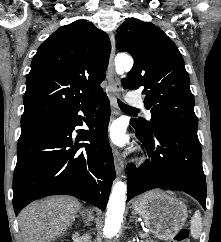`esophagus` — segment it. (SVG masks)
Instances as JSON below:
<instances>
[{"mask_svg": "<svg viewBox=\"0 0 221 242\" xmlns=\"http://www.w3.org/2000/svg\"><path fill=\"white\" fill-rule=\"evenodd\" d=\"M110 42H111V54L109 58V65H108V72H107L108 86L106 90L110 100V104L112 106L111 120H113L119 113L117 96H118V93L120 92V84L114 73L115 39H114L113 33H111L110 35ZM113 155H114L116 174L119 176L124 170V166H125L124 161L120 155V152L116 148H113Z\"/></svg>", "mask_w": 221, "mask_h": 242, "instance_id": "1", "label": "esophagus"}]
</instances>
